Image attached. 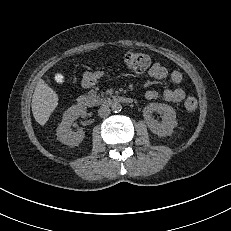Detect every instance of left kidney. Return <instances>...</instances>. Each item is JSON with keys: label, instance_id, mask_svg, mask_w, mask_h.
<instances>
[{"label": "left kidney", "instance_id": "left-kidney-1", "mask_svg": "<svg viewBox=\"0 0 231 231\" xmlns=\"http://www.w3.org/2000/svg\"><path fill=\"white\" fill-rule=\"evenodd\" d=\"M153 112L163 115L161 123L152 118ZM143 116L148 128L161 137L170 136L178 124L175 109L167 104L151 103L144 108Z\"/></svg>", "mask_w": 231, "mask_h": 231}]
</instances>
